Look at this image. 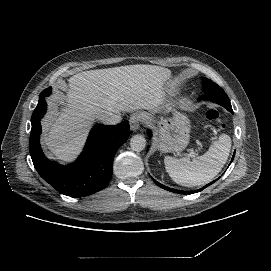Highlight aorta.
I'll return each mask as SVG.
<instances>
[{"label": "aorta", "instance_id": "762f6f07", "mask_svg": "<svg viewBox=\"0 0 271 271\" xmlns=\"http://www.w3.org/2000/svg\"><path fill=\"white\" fill-rule=\"evenodd\" d=\"M146 146V139L142 135H134L130 140V147L133 151L140 152Z\"/></svg>", "mask_w": 271, "mask_h": 271}]
</instances>
